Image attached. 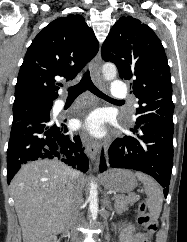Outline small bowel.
Returning a JSON list of instances; mask_svg holds the SVG:
<instances>
[{"mask_svg":"<svg viewBox=\"0 0 187 242\" xmlns=\"http://www.w3.org/2000/svg\"><path fill=\"white\" fill-rule=\"evenodd\" d=\"M139 240H140V236H136L133 242H139Z\"/></svg>","mask_w":187,"mask_h":242,"instance_id":"1","label":"small bowel"}]
</instances>
